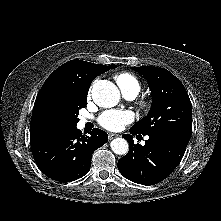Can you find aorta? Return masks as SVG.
Listing matches in <instances>:
<instances>
[{"label":"aorta","instance_id":"obj_1","mask_svg":"<svg viewBox=\"0 0 221 221\" xmlns=\"http://www.w3.org/2000/svg\"><path fill=\"white\" fill-rule=\"evenodd\" d=\"M92 99L98 106L110 108L119 102L120 92L112 82L101 80L93 85ZM110 146L112 151L118 155H125L129 150L128 142L123 138L113 139Z\"/></svg>","mask_w":221,"mask_h":221}]
</instances>
